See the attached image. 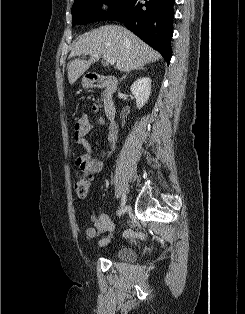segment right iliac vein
<instances>
[{
  "label": "right iliac vein",
  "mask_w": 245,
  "mask_h": 314,
  "mask_svg": "<svg viewBox=\"0 0 245 314\" xmlns=\"http://www.w3.org/2000/svg\"><path fill=\"white\" fill-rule=\"evenodd\" d=\"M127 206L124 204L123 208L119 211V216H121L125 210H126Z\"/></svg>",
  "instance_id": "1"
}]
</instances>
